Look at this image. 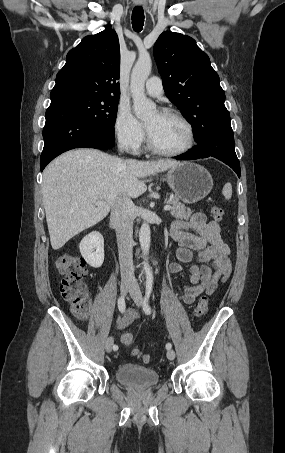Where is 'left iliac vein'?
I'll return each mask as SVG.
<instances>
[{
  "label": "left iliac vein",
  "instance_id": "left-iliac-vein-1",
  "mask_svg": "<svg viewBox=\"0 0 285 453\" xmlns=\"http://www.w3.org/2000/svg\"><path fill=\"white\" fill-rule=\"evenodd\" d=\"M130 295L134 302L136 303L137 306H142L143 305V296L140 290V287L137 283H134L132 286V289L130 290ZM167 358L169 360H174L175 359V351L169 349L167 351Z\"/></svg>",
  "mask_w": 285,
  "mask_h": 453
}]
</instances>
